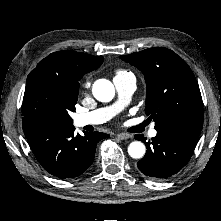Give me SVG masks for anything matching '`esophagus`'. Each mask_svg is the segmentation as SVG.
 Masks as SVG:
<instances>
[{
  "instance_id": "esophagus-1",
  "label": "esophagus",
  "mask_w": 221,
  "mask_h": 221,
  "mask_svg": "<svg viewBox=\"0 0 221 221\" xmlns=\"http://www.w3.org/2000/svg\"><path fill=\"white\" fill-rule=\"evenodd\" d=\"M117 138L121 139V140H126L129 139L131 136L127 133H119L116 135Z\"/></svg>"
}]
</instances>
